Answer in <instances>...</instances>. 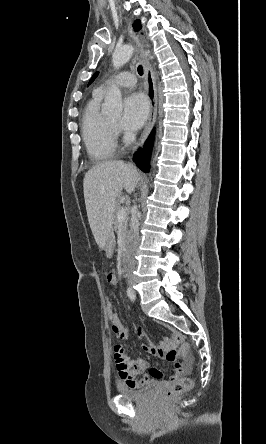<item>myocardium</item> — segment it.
Here are the masks:
<instances>
[{"instance_id": "obj_1", "label": "myocardium", "mask_w": 266, "mask_h": 444, "mask_svg": "<svg viewBox=\"0 0 266 444\" xmlns=\"http://www.w3.org/2000/svg\"><path fill=\"white\" fill-rule=\"evenodd\" d=\"M108 124H109L110 131L112 132L114 137H116V135L118 134V129H119L118 124L115 122H112L110 119L108 121Z\"/></svg>"}]
</instances>
